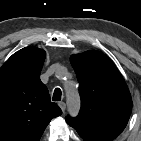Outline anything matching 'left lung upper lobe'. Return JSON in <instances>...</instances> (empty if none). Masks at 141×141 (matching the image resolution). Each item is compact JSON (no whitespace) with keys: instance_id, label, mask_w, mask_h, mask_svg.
I'll use <instances>...</instances> for the list:
<instances>
[{"instance_id":"obj_1","label":"left lung upper lobe","mask_w":141,"mask_h":141,"mask_svg":"<svg viewBox=\"0 0 141 141\" xmlns=\"http://www.w3.org/2000/svg\"><path fill=\"white\" fill-rule=\"evenodd\" d=\"M82 100L80 114L66 117L84 141H112L126 127L132 110L128 87L113 62L99 51L71 56Z\"/></svg>"}]
</instances>
